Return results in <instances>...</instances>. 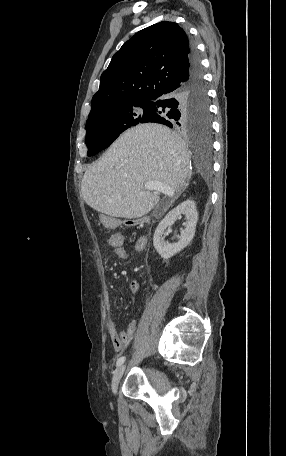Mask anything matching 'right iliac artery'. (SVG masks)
Returning a JSON list of instances; mask_svg holds the SVG:
<instances>
[{"mask_svg":"<svg viewBox=\"0 0 286 456\" xmlns=\"http://www.w3.org/2000/svg\"><path fill=\"white\" fill-rule=\"evenodd\" d=\"M124 361H125V356L118 358V360L116 362V366L122 365L124 363Z\"/></svg>","mask_w":286,"mask_h":456,"instance_id":"82829eb1","label":"right iliac artery"}]
</instances>
